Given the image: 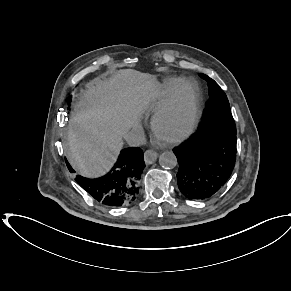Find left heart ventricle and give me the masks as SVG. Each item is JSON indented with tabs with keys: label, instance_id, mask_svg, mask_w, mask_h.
<instances>
[{
	"label": "left heart ventricle",
	"instance_id": "left-heart-ventricle-1",
	"mask_svg": "<svg viewBox=\"0 0 291 291\" xmlns=\"http://www.w3.org/2000/svg\"><path fill=\"white\" fill-rule=\"evenodd\" d=\"M187 123L188 108L185 104H181L161 123L159 133L166 138L175 136L187 126Z\"/></svg>",
	"mask_w": 291,
	"mask_h": 291
}]
</instances>
